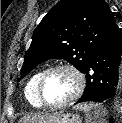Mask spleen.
Instances as JSON below:
<instances>
[{"mask_svg": "<svg viewBox=\"0 0 122 123\" xmlns=\"http://www.w3.org/2000/svg\"><path fill=\"white\" fill-rule=\"evenodd\" d=\"M75 109L85 113L86 123H107L108 112L101 104L83 103L77 105Z\"/></svg>", "mask_w": 122, "mask_h": 123, "instance_id": "1", "label": "spleen"}]
</instances>
